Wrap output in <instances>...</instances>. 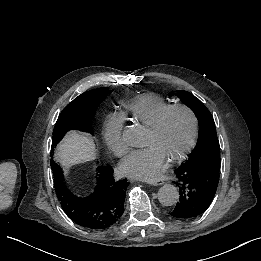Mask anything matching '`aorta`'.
I'll use <instances>...</instances> for the list:
<instances>
[{
	"instance_id": "762f6f07",
	"label": "aorta",
	"mask_w": 261,
	"mask_h": 261,
	"mask_svg": "<svg viewBox=\"0 0 261 261\" xmlns=\"http://www.w3.org/2000/svg\"><path fill=\"white\" fill-rule=\"evenodd\" d=\"M124 140L133 147H139L143 139V131L139 126H128L123 131ZM158 200L164 206H172L179 201L177 187L171 184L163 185L158 191Z\"/></svg>"
}]
</instances>
